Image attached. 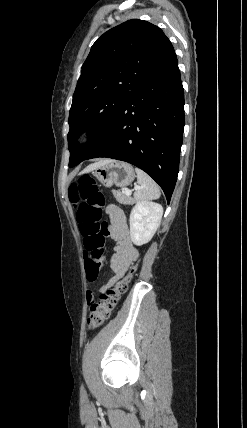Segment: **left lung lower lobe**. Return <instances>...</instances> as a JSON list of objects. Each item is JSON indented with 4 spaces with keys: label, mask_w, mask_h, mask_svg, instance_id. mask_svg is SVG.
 I'll use <instances>...</instances> for the list:
<instances>
[{
    "label": "left lung lower lobe",
    "mask_w": 247,
    "mask_h": 428,
    "mask_svg": "<svg viewBox=\"0 0 247 428\" xmlns=\"http://www.w3.org/2000/svg\"><path fill=\"white\" fill-rule=\"evenodd\" d=\"M184 91L175 52L128 97L85 158L131 163L150 175L170 202L179 171Z\"/></svg>",
    "instance_id": "obj_1"
}]
</instances>
